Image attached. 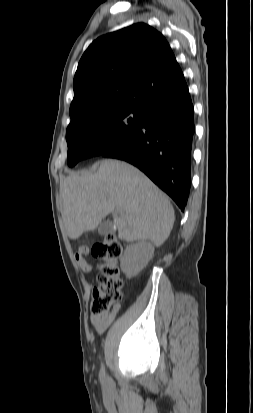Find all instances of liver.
I'll return each instance as SVG.
<instances>
[{"instance_id":"1","label":"liver","mask_w":253,"mask_h":413,"mask_svg":"<svg viewBox=\"0 0 253 413\" xmlns=\"http://www.w3.org/2000/svg\"><path fill=\"white\" fill-rule=\"evenodd\" d=\"M61 197L62 218L71 239L96 229L112 213L119 239L150 240L159 247L175 220L167 196L141 171L119 160H103L94 172L71 173Z\"/></svg>"}]
</instances>
